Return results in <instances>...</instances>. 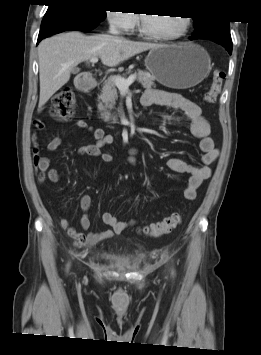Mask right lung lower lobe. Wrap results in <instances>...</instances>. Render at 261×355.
Segmentation results:
<instances>
[{
  "label": "right lung lower lobe",
  "instance_id": "98d812e1",
  "mask_svg": "<svg viewBox=\"0 0 261 355\" xmlns=\"http://www.w3.org/2000/svg\"><path fill=\"white\" fill-rule=\"evenodd\" d=\"M101 21H95L76 10L53 6L48 8L41 22L37 44L44 38L67 30L89 31Z\"/></svg>",
  "mask_w": 261,
  "mask_h": 355
}]
</instances>
